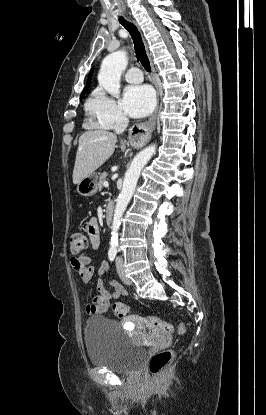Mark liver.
I'll return each instance as SVG.
<instances>
[{
  "mask_svg": "<svg viewBox=\"0 0 266 415\" xmlns=\"http://www.w3.org/2000/svg\"><path fill=\"white\" fill-rule=\"evenodd\" d=\"M117 136L105 130H90L79 138V145L73 170V183L98 169L114 152Z\"/></svg>",
  "mask_w": 266,
  "mask_h": 415,
  "instance_id": "liver-1",
  "label": "liver"
}]
</instances>
